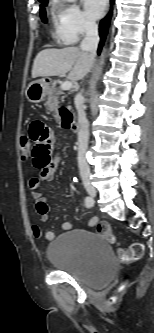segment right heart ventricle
I'll use <instances>...</instances> for the list:
<instances>
[{
  "instance_id": "obj_1",
  "label": "right heart ventricle",
  "mask_w": 154,
  "mask_h": 333,
  "mask_svg": "<svg viewBox=\"0 0 154 333\" xmlns=\"http://www.w3.org/2000/svg\"><path fill=\"white\" fill-rule=\"evenodd\" d=\"M58 5L57 4H54L53 7H52V21H53V24L56 28L55 30V35L56 37L58 38V27H57V20H58Z\"/></svg>"
}]
</instances>
